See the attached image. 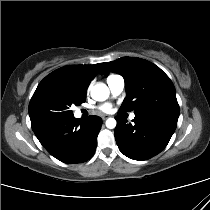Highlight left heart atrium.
Segmentation results:
<instances>
[{"instance_id": "left-heart-atrium-1", "label": "left heart atrium", "mask_w": 210, "mask_h": 210, "mask_svg": "<svg viewBox=\"0 0 210 210\" xmlns=\"http://www.w3.org/2000/svg\"><path fill=\"white\" fill-rule=\"evenodd\" d=\"M111 108L112 106L110 104H103L102 106H100V110L103 112H110Z\"/></svg>"}]
</instances>
